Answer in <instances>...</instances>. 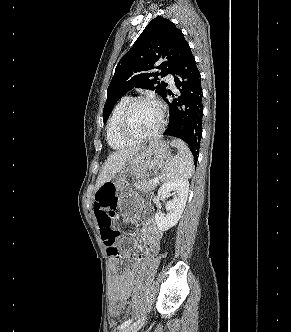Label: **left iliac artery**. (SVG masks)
<instances>
[{
  "label": "left iliac artery",
  "instance_id": "obj_1",
  "mask_svg": "<svg viewBox=\"0 0 291 332\" xmlns=\"http://www.w3.org/2000/svg\"><path fill=\"white\" fill-rule=\"evenodd\" d=\"M132 321H133V319H128V320L124 321V322L118 327V329L121 330V329H123V328L129 326L130 323H132Z\"/></svg>",
  "mask_w": 291,
  "mask_h": 332
}]
</instances>
